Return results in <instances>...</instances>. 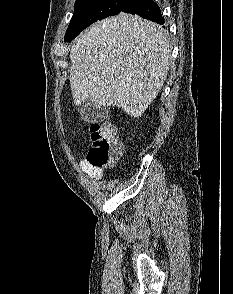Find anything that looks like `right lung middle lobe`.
<instances>
[{"label":"right lung middle lobe","mask_w":233,"mask_h":294,"mask_svg":"<svg viewBox=\"0 0 233 294\" xmlns=\"http://www.w3.org/2000/svg\"><path fill=\"white\" fill-rule=\"evenodd\" d=\"M129 0H76L74 14L65 34V41L108 16L119 14Z\"/></svg>","instance_id":"obj_1"}]
</instances>
